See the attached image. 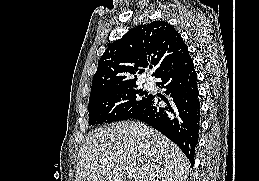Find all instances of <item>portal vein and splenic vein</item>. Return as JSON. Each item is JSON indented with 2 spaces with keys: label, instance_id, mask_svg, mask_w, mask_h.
<instances>
[{
  "label": "portal vein and splenic vein",
  "instance_id": "obj_1",
  "mask_svg": "<svg viewBox=\"0 0 259 181\" xmlns=\"http://www.w3.org/2000/svg\"><path fill=\"white\" fill-rule=\"evenodd\" d=\"M127 173L129 174V176L131 177L132 174L135 172L133 169H126Z\"/></svg>",
  "mask_w": 259,
  "mask_h": 181
}]
</instances>
